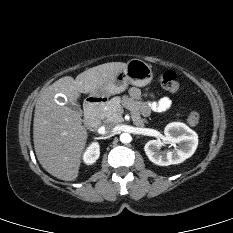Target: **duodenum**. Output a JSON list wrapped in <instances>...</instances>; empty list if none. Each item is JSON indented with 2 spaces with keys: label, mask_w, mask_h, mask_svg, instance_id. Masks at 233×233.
<instances>
[{
  "label": "duodenum",
  "mask_w": 233,
  "mask_h": 233,
  "mask_svg": "<svg viewBox=\"0 0 233 233\" xmlns=\"http://www.w3.org/2000/svg\"><path fill=\"white\" fill-rule=\"evenodd\" d=\"M106 102L105 98L97 97L90 99L85 105L84 124L88 129L98 127L100 111Z\"/></svg>",
  "instance_id": "1"
}]
</instances>
